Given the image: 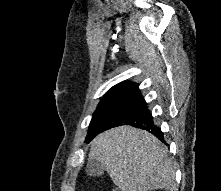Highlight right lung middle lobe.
Instances as JSON below:
<instances>
[{"instance_id":"1","label":"right lung middle lobe","mask_w":221,"mask_h":191,"mask_svg":"<svg viewBox=\"0 0 221 191\" xmlns=\"http://www.w3.org/2000/svg\"><path fill=\"white\" fill-rule=\"evenodd\" d=\"M117 101H111L103 104H99L97 106L96 111L93 114L92 120L89 125V130L88 134L86 137V142H90L97 134H99V131L101 129V124L104 118L107 116L109 113L110 109L112 106L116 103Z\"/></svg>"}]
</instances>
